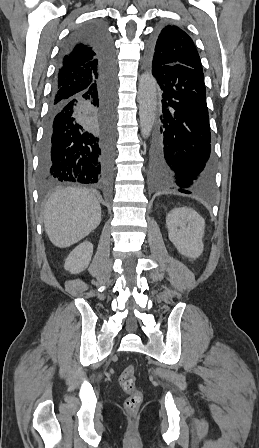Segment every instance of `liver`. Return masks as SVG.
Instances as JSON below:
<instances>
[{"mask_svg": "<svg viewBox=\"0 0 259 448\" xmlns=\"http://www.w3.org/2000/svg\"><path fill=\"white\" fill-rule=\"evenodd\" d=\"M100 222L101 206L89 190L60 188L45 204L46 234L58 248H68L86 238Z\"/></svg>", "mask_w": 259, "mask_h": 448, "instance_id": "6515ba94", "label": "liver"}]
</instances>
